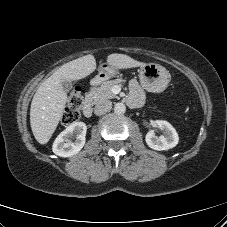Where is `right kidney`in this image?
Wrapping results in <instances>:
<instances>
[{"label":"right kidney","instance_id":"1","mask_svg":"<svg viewBox=\"0 0 227 227\" xmlns=\"http://www.w3.org/2000/svg\"><path fill=\"white\" fill-rule=\"evenodd\" d=\"M87 127L83 122L70 124L55 139L52 150L60 157H71L77 154L85 145ZM75 136L76 140L72 141Z\"/></svg>","mask_w":227,"mask_h":227}]
</instances>
